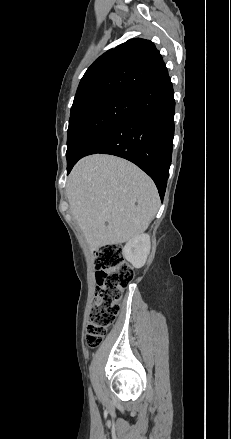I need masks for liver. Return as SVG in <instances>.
<instances>
[{"label": "liver", "mask_w": 231, "mask_h": 439, "mask_svg": "<svg viewBox=\"0 0 231 439\" xmlns=\"http://www.w3.org/2000/svg\"><path fill=\"white\" fill-rule=\"evenodd\" d=\"M67 196L71 214L91 249L142 234L160 205L149 176L127 160L102 154L85 157L74 166Z\"/></svg>", "instance_id": "obj_1"}]
</instances>
